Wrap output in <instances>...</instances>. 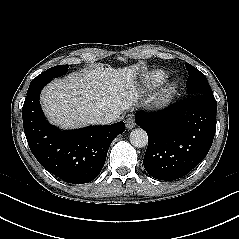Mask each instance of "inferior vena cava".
<instances>
[{"label": "inferior vena cava", "mask_w": 239, "mask_h": 239, "mask_svg": "<svg viewBox=\"0 0 239 239\" xmlns=\"http://www.w3.org/2000/svg\"><path fill=\"white\" fill-rule=\"evenodd\" d=\"M115 120V117L113 115H104V114H98L95 117V121L98 124L105 125L113 122Z\"/></svg>", "instance_id": "obj_1"}]
</instances>
